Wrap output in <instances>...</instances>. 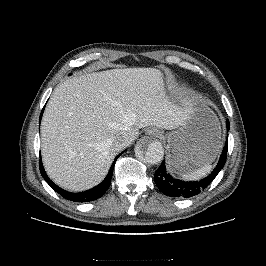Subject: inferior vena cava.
Masks as SVG:
<instances>
[{"label": "inferior vena cava", "mask_w": 266, "mask_h": 266, "mask_svg": "<svg viewBox=\"0 0 266 266\" xmlns=\"http://www.w3.org/2000/svg\"><path fill=\"white\" fill-rule=\"evenodd\" d=\"M129 141L130 137L127 134L116 135L111 140L112 148L116 151H120L129 144Z\"/></svg>", "instance_id": "obj_1"}]
</instances>
